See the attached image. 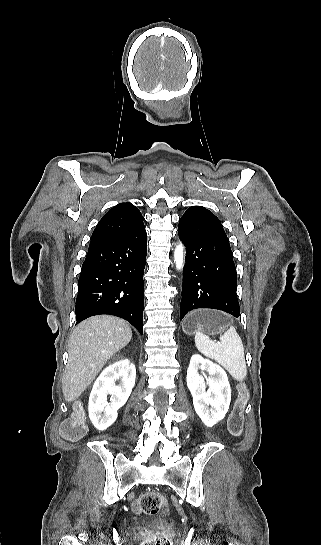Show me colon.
<instances>
[{
  "label": "colon",
  "instance_id": "1",
  "mask_svg": "<svg viewBox=\"0 0 321 545\" xmlns=\"http://www.w3.org/2000/svg\"><path fill=\"white\" fill-rule=\"evenodd\" d=\"M248 400V393L245 389L239 390L231 415L228 420V430L233 436H240L243 432L244 417L243 412ZM87 431L84 414L77 410L72 417L65 420L61 426L62 436L69 441L81 439ZM134 511L148 515L166 514L167 501L157 492H147L142 494L134 504ZM142 545H169V540L160 529L148 531L145 535Z\"/></svg>",
  "mask_w": 321,
  "mask_h": 545
}]
</instances>
